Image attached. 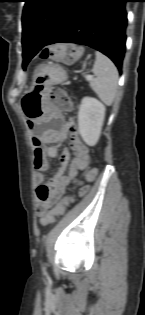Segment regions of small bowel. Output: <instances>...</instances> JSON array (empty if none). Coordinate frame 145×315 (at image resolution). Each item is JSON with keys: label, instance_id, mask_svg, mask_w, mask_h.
Segmentation results:
<instances>
[{"label": "small bowel", "instance_id": "small-bowel-1", "mask_svg": "<svg viewBox=\"0 0 145 315\" xmlns=\"http://www.w3.org/2000/svg\"><path fill=\"white\" fill-rule=\"evenodd\" d=\"M74 131V122L70 120L66 128L61 129L53 137L51 131H46L41 140H30V147H34L33 165L37 171L34 175V182L37 185V214L40 217V223L44 226L50 224L46 221L50 212L49 208L62 197L71 184H80L78 180L79 172L85 171V179L87 181H92L97 174L96 169H88V148L75 136ZM68 134L71 135L70 146L75 153L69 170L67 173H64L69 160V151L64 149L59 159V168L56 175L48 183L43 184L44 172L49 167L48 158H55L59 149L58 145H47V143L51 140L61 142L67 138ZM86 189V186H82L80 194H83Z\"/></svg>", "mask_w": 145, "mask_h": 315}]
</instances>
